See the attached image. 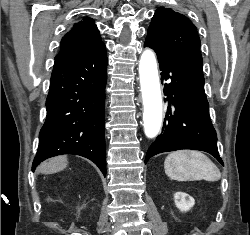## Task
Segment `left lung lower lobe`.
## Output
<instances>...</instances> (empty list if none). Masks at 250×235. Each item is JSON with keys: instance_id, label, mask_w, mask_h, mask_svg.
<instances>
[{"instance_id": "0a47b994", "label": "left lung lower lobe", "mask_w": 250, "mask_h": 235, "mask_svg": "<svg viewBox=\"0 0 250 235\" xmlns=\"http://www.w3.org/2000/svg\"><path fill=\"white\" fill-rule=\"evenodd\" d=\"M160 64L167 113L161 134L148 149L145 163L154 155L180 149L210 153L222 165L217 149V136L209 117V104L204 91L202 56L199 48L159 49L146 40Z\"/></svg>"}]
</instances>
